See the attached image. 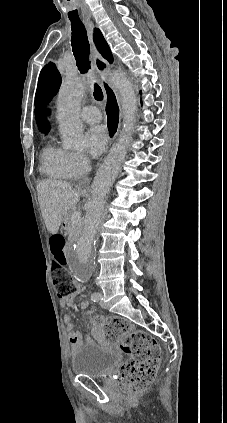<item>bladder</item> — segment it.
Masks as SVG:
<instances>
[{
	"label": "bladder",
	"mask_w": 227,
	"mask_h": 423,
	"mask_svg": "<svg viewBox=\"0 0 227 423\" xmlns=\"http://www.w3.org/2000/svg\"><path fill=\"white\" fill-rule=\"evenodd\" d=\"M121 359L115 352L101 348L99 344H84L73 356L72 371L81 377L107 379L119 366Z\"/></svg>",
	"instance_id": "1"
}]
</instances>
